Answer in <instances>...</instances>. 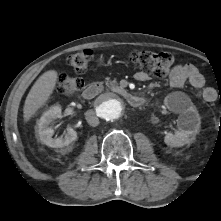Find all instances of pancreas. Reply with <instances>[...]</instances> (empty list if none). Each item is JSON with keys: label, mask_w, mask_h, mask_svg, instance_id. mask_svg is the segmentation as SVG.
<instances>
[{"label": "pancreas", "mask_w": 221, "mask_h": 221, "mask_svg": "<svg viewBox=\"0 0 221 221\" xmlns=\"http://www.w3.org/2000/svg\"><path fill=\"white\" fill-rule=\"evenodd\" d=\"M111 84L114 85L115 83H114V82H111Z\"/></svg>", "instance_id": "1"}]
</instances>
